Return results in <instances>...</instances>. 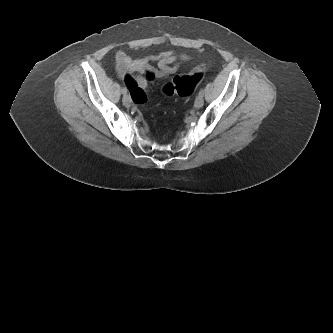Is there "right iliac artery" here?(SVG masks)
Here are the masks:
<instances>
[{"label": "right iliac artery", "instance_id": "82829eb1", "mask_svg": "<svg viewBox=\"0 0 333 333\" xmlns=\"http://www.w3.org/2000/svg\"><path fill=\"white\" fill-rule=\"evenodd\" d=\"M122 93H123L124 95H126V93H127V88H126V87H123V88H122Z\"/></svg>", "mask_w": 333, "mask_h": 333}]
</instances>
